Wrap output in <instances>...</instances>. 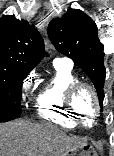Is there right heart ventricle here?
Returning a JSON list of instances; mask_svg holds the SVG:
<instances>
[{
    "instance_id": "1",
    "label": "right heart ventricle",
    "mask_w": 114,
    "mask_h": 156,
    "mask_svg": "<svg viewBox=\"0 0 114 156\" xmlns=\"http://www.w3.org/2000/svg\"><path fill=\"white\" fill-rule=\"evenodd\" d=\"M78 81L72 67L54 64L53 75L41 87L35 100L38 115L63 128H75L78 124L66 106V94Z\"/></svg>"
}]
</instances>
